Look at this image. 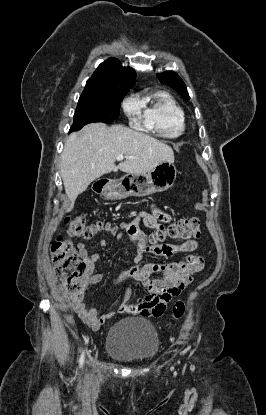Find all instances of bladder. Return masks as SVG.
<instances>
[{"label":"bladder","instance_id":"1","mask_svg":"<svg viewBox=\"0 0 266 415\" xmlns=\"http://www.w3.org/2000/svg\"><path fill=\"white\" fill-rule=\"evenodd\" d=\"M106 352L126 363L153 360L160 349L155 327L143 318H124L114 323L106 336Z\"/></svg>","mask_w":266,"mask_h":415}]
</instances>
